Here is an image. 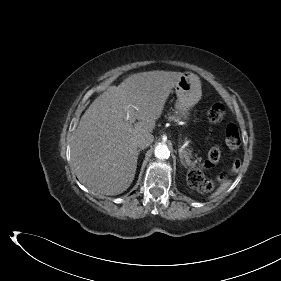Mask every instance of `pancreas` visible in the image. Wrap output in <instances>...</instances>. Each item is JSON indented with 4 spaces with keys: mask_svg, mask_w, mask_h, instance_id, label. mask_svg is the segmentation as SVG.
Instances as JSON below:
<instances>
[{
    "mask_svg": "<svg viewBox=\"0 0 281 281\" xmlns=\"http://www.w3.org/2000/svg\"><path fill=\"white\" fill-rule=\"evenodd\" d=\"M168 120H169V121H174V122H179L180 119H179L178 116L170 115V116H168ZM183 156H184V158H185L186 163H187L189 166H191L192 168H195V163L190 160V158L192 157L191 151H190V150H188V151L185 150V151L183 152Z\"/></svg>",
    "mask_w": 281,
    "mask_h": 281,
    "instance_id": "pancreas-1",
    "label": "pancreas"
}]
</instances>
